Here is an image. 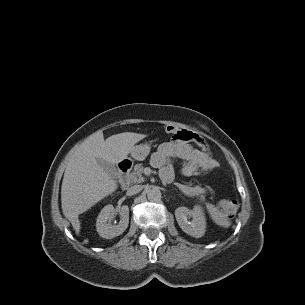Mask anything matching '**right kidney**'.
<instances>
[{"label": "right kidney", "mask_w": 305, "mask_h": 305, "mask_svg": "<svg viewBox=\"0 0 305 305\" xmlns=\"http://www.w3.org/2000/svg\"><path fill=\"white\" fill-rule=\"evenodd\" d=\"M115 209L113 205H106L100 212L96 221L97 232L102 238L111 239L121 235L129 224V208L123 205L119 208L121 220L117 225L111 224L115 217Z\"/></svg>", "instance_id": "1"}]
</instances>
